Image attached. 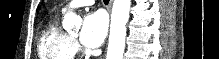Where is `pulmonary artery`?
<instances>
[{"mask_svg":"<svg viewBox=\"0 0 219 59\" xmlns=\"http://www.w3.org/2000/svg\"><path fill=\"white\" fill-rule=\"evenodd\" d=\"M93 0H76L69 2L66 6L63 7L62 11H67L69 9H74L80 6L91 5Z\"/></svg>","mask_w":219,"mask_h":59,"instance_id":"pulmonary-artery-1","label":"pulmonary artery"}]
</instances>
